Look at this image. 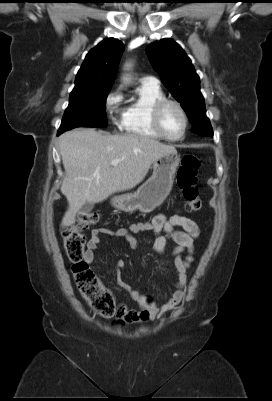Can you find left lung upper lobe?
Returning <instances> with one entry per match:
<instances>
[{"instance_id":"5c2ea615","label":"left lung upper lobe","mask_w":272,"mask_h":401,"mask_svg":"<svg viewBox=\"0 0 272 401\" xmlns=\"http://www.w3.org/2000/svg\"><path fill=\"white\" fill-rule=\"evenodd\" d=\"M147 54L165 87L181 103L193 125L192 130L212 136L199 76L184 50L174 40L162 39L148 45Z\"/></svg>"}]
</instances>
